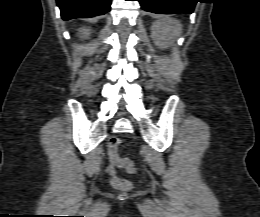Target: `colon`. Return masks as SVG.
Returning a JSON list of instances; mask_svg holds the SVG:
<instances>
[{"instance_id": "colon-1", "label": "colon", "mask_w": 260, "mask_h": 217, "mask_svg": "<svg viewBox=\"0 0 260 217\" xmlns=\"http://www.w3.org/2000/svg\"><path fill=\"white\" fill-rule=\"evenodd\" d=\"M109 145L116 149L120 145V140L117 138H112L109 141ZM118 163L122 168H124L128 173H136V165L134 161L130 158H120ZM112 185L117 189L128 190L130 188L129 182L122 177H114L111 180Z\"/></svg>"}]
</instances>
